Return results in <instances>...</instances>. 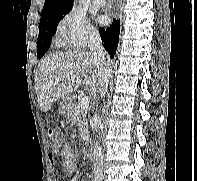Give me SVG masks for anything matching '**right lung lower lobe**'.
<instances>
[{"mask_svg": "<svg viewBox=\"0 0 197 181\" xmlns=\"http://www.w3.org/2000/svg\"><path fill=\"white\" fill-rule=\"evenodd\" d=\"M119 33L120 20H114L112 25H110L106 29L100 28V36L103 42V46L108 51L111 58H113L116 53L119 41Z\"/></svg>", "mask_w": 197, "mask_h": 181, "instance_id": "right-lung-lower-lobe-1", "label": "right lung lower lobe"}]
</instances>
